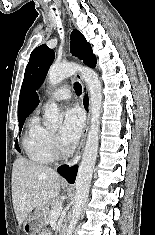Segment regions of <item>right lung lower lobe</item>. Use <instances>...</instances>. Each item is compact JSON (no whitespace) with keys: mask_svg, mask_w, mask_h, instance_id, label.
<instances>
[{"mask_svg":"<svg viewBox=\"0 0 155 235\" xmlns=\"http://www.w3.org/2000/svg\"><path fill=\"white\" fill-rule=\"evenodd\" d=\"M58 172L61 175H63L64 177H66L68 182L74 183L76 173H77V166H74V167H71V168L68 167V166H62L58 169Z\"/></svg>","mask_w":155,"mask_h":235,"instance_id":"98d812e1","label":"right lung lower lobe"}]
</instances>
